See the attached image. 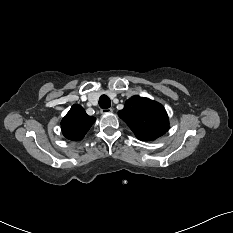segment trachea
I'll return each instance as SVG.
<instances>
[{
	"label": "trachea",
	"instance_id": "trachea-1",
	"mask_svg": "<svg viewBox=\"0 0 233 233\" xmlns=\"http://www.w3.org/2000/svg\"><path fill=\"white\" fill-rule=\"evenodd\" d=\"M99 106L102 109H108L111 106V101H110L109 97L106 95H102L99 98Z\"/></svg>",
	"mask_w": 233,
	"mask_h": 233
}]
</instances>
